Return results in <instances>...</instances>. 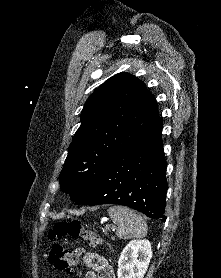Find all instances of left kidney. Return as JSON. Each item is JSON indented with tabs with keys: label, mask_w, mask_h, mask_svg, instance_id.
<instances>
[{
	"label": "left kidney",
	"mask_w": 221,
	"mask_h": 278,
	"mask_svg": "<svg viewBox=\"0 0 221 278\" xmlns=\"http://www.w3.org/2000/svg\"><path fill=\"white\" fill-rule=\"evenodd\" d=\"M151 257L152 248L148 240L130 241L118 260V278H143Z\"/></svg>",
	"instance_id": "left-kidney-1"
}]
</instances>
